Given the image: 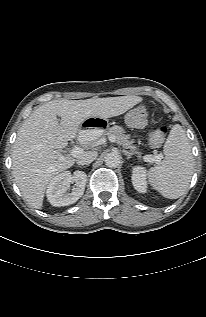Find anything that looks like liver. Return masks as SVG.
Returning a JSON list of instances; mask_svg holds the SVG:
<instances>
[{
    "mask_svg": "<svg viewBox=\"0 0 206 317\" xmlns=\"http://www.w3.org/2000/svg\"><path fill=\"white\" fill-rule=\"evenodd\" d=\"M141 101L142 97L134 95L62 99L34 110L19 129L12 151V173L26 201L33 208L41 209L49 182L74 165L75 159L59 150L77 137L86 119L119 116ZM78 139L85 141L81 135Z\"/></svg>",
    "mask_w": 206,
    "mask_h": 317,
    "instance_id": "6515ba94",
    "label": "liver"
}]
</instances>
